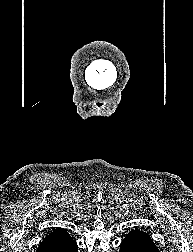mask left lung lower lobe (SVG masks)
Listing matches in <instances>:
<instances>
[{"instance_id":"left-lung-lower-lobe-1","label":"left lung lower lobe","mask_w":193,"mask_h":252,"mask_svg":"<svg viewBox=\"0 0 193 252\" xmlns=\"http://www.w3.org/2000/svg\"><path fill=\"white\" fill-rule=\"evenodd\" d=\"M119 252H159V249L147 233L135 229L121 242Z\"/></svg>"}]
</instances>
